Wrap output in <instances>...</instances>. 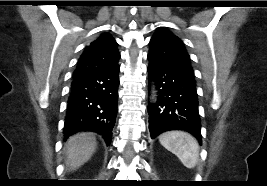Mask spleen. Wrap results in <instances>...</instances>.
Returning a JSON list of instances; mask_svg holds the SVG:
<instances>
[{
    "label": "spleen",
    "mask_w": 267,
    "mask_h": 186,
    "mask_svg": "<svg viewBox=\"0 0 267 186\" xmlns=\"http://www.w3.org/2000/svg\"><path fill=\"white\" fill-rule=\"evenodd\" d=\"M159 141L163 147L175 154L188 169H193L198 162L199 144L189 133L170 131L162 134Z\"/></svg>",
    "instance_id": "3e777b00"
}]
</instances>
